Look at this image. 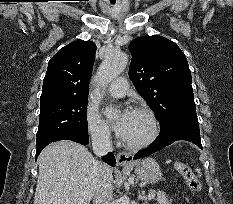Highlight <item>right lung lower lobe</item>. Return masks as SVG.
<instances>
[{
    "label": "right lung lower lobe",
    "instance_id": "right-lung-lower-lobe-1",
    "mask_svg": "<svg viewBox=\"0 0 233 204\" xmlns=\"http://www.w3.org/2000/svg\"><path fill=\"white\" fill-rule=\"evenodd\" d=\"M59 140H71V141L80 143L82 145H87L89 143V136L87 134H67V135H62V136L56 138L52 142L59 141ZM48 144L49 143L36 147V160H37V156L40 154L42 149L45 146H47ZM102 159H103V161H105L109 165L115 166L116 161H115V157L112 153H108Z\"/></svg>",
    "mask_w": 233,
    "mask_h": 204
}]
</instances>
